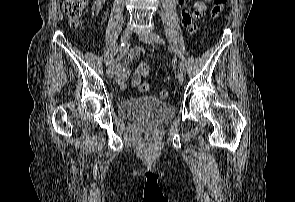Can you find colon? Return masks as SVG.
Returning a JSON list of instances; mask_svg holds the SVG:
<instances>
[{
  "label": "colon",
  "mask_w": 295,
  "mask_h": 202,
  "mask_svg": "<svg viewBox=\"0 0 295 202\" xmlns=\"http://www.w3.org/2000/svg\"><path fill=\"white\" fill-rule=\"evenodd\" d=\"M87 0H65L63 9L68 17L70 26L72 28H76L79 25L80 19L82 17L84 8L86 6ZM227 0H213V4L211 7V17L213 19H217L222 13ZM149 73V66L144 62L138 63L136 67V75H144L147 76ZM149 90L148 83H142L139 85V91L146 92ZM169 91L167 89H163L160 91V96L162 98H167L169 96Z\"/></svg>",
  "instance_id": "5ec220e1"
}]
</instances>
